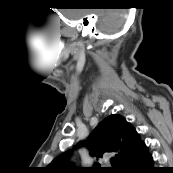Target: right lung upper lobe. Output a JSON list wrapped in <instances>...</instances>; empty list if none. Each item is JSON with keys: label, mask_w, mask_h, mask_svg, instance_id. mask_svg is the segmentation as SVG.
<instances>
[{"label": "right lung upper lobe", "mask_w": 173, "mask_h": 173, "mask_svg": "<svg viewBox=\"0 0 173 173\" xmlns=\"http://www.w3.org/2000/svg\"><path fill=\"white\" fill-rule=\"evenodd\" d=\"M79 142L76 147H80ZM92 157L114 155V167L102 168L99 164L91 169L72 167L71 151L64 152L46 167L47 173H110L116 172L123 161L145 146L135 128L121 115H110L100 122L85 142Z\"/></svg>", "instance_id": "obj_1"}]
</instances>
